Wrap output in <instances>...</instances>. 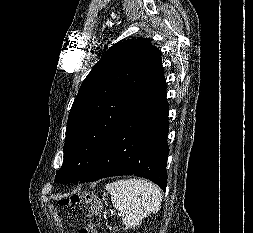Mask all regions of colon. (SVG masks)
Here are the masks:
<instances>
[{"mask_svg":"<svg viewBox=\"0 0 253 233\" xmlns=\"http://www.w3.org/2000/svg\"><path fill=\"white\" fill-rule=\"evenodd\" d=\"M80 202H89L92 204L90 212L86 215L84 226L79 233H96V228L99 223L98 207L95 197L91 193L72 194L62 197L58 200V204L62 207H73Z\"/></svg>","mask_w":253,"mask_h":233,"instance_id":"obj_1","label":"colon"}]
</instances>
